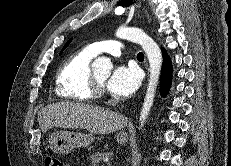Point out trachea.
<instances>
[{
  "label": "trachea",
  "instance_id": "1",
  "mask_svg": "<svg viewBox=\"0 0 231 166\" xmlns=\"http://www.w3.org/2000/svg\"><path fill=\"white\" fill-rule=\"evenodd\" d=\"M137 59H138V60H144V54H143L142 52H139V53L137 54Z\"/></svg>",
  "mask_w": 231,
  "mask_h": 166
}]
</instances>
